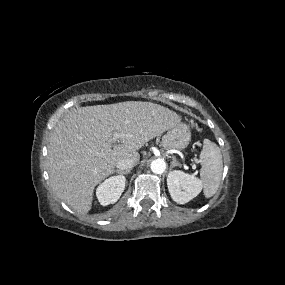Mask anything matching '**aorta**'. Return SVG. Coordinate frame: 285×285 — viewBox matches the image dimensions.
<instances>
[{
  "label": "aorta",
  "instance_id": "aorta-1",
  "mask_svg": "<svg viewBox=\"0 0 285 285\" xmlns=\"http://www.w3.org/2000/svg\"><path fill=\"white\" fill-rule=\"evenodd\" d=\"M151 171L155 174H162L166 170V163L163 159H155L150 165Z\"/></svg>",
  "mask_w": 285,
  "mask_h": 285
}]
</instances>
